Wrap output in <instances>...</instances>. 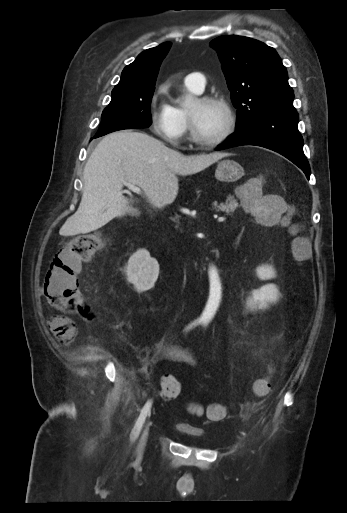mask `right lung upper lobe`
<instances>
[{
  "mask_svg": "<svg viewBox=\"0 0 347 513\" xmlns=\"http://www.w3.org/2000/svg\"><path fill=\"white\" fill-rule=\"evenodd\" d=\"M170 47L171 43L165 42L140 53L133 63L124 68L121 79L113 90L155 87L159 67Z\"/></svg>",
  "mask_w": 347,
  "mask_h": 513,
  "instance_id": "right-lung-upper-lobe-1",
  "label": "right lung upper lobe"
}]
</instances>
